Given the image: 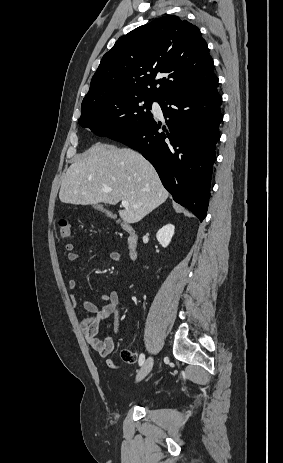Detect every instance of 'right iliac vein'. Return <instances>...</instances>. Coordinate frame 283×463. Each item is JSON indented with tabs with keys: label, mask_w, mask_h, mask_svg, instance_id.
<instances>
[{
	"label": "right iliac vein",
	"mask_w": 283,
	"mask_h": 463,
	"mask_svg": "<svg viewBox=\"0 0 283 463\" xmlns=\"http://www.w3.org/2000/svg\"><path fill=\"white\" fill-rule=\"evenodd\" d=\"M154 364L153 357H148L147 360L144 362L143 366L141 367L140 371L137 374L136 381L139 382L143 380L151 371Z\"/></svg>",
	"instance_id": "63e3f726"
}]
</instances>
